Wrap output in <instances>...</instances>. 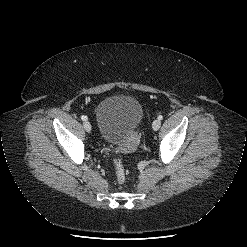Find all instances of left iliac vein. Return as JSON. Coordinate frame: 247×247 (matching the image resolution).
<instances>
[{
    "mask_svg": "<svg viewBox=\"0 0 247 247\" xmlns=\"http://www.w3.org/2000/svg\"><path fill=\"white\" fill-rule=\"evenodd\" d=\"M161 121L159 119H156L152 123V128L154 131H157L160 128Z\"/></svg>",
    "mask_w": 247,
    "mask_h": 247,
    "instance_id": "1",
    "label": "left iliac vein"
}]
</instances>
